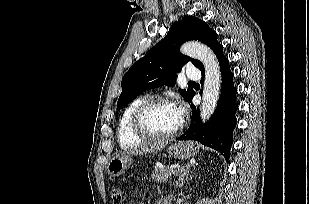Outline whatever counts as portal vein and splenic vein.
<instances>
[{"mask_svg": "<svg viewBox=\"0 0 309 204\" xmlns=\"http://www.w3.org/2000/svg\"><path fill=\"white\" fill-rule=\"evenodd\" d=\"M183 170H184V169H182V168H178V169H176V171L174 172V174H179V173H181Z\"/></svg>", "mask_w": 309, "mask_h": 204, "instance_id": "portal-vein-and-splenic-vein-1", "label": "portal vein and splenic vein"}]
</instances>
